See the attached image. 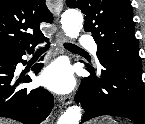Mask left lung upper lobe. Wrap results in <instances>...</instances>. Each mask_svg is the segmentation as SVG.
Instances as JSON below:
<instances>
[{"label":"left lung upper lobe","mask_w":145,"mask_h":124,"mask_svg":"<svg viewBox=\"0 0 145 124\" xmlns=\"http://www.w3.org/2000/svg\"><path fill=\"white\" fill-rule=\"evenodd\" d=\"M85 15V31L97 43L101 64L118 63L142 71L130 0H66Z\"/></svg>","instance_id":"1"}]
</instances>
